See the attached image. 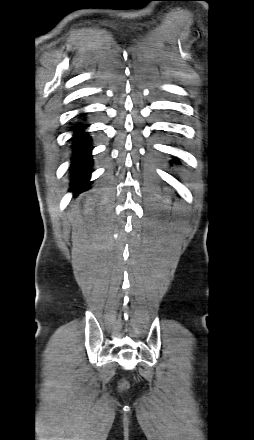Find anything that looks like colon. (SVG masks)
Returning a JSON list of instances; mask_svg holds the SVG:
<instances>
[{"label": "colon", "mask_w": 254, "mask_h": 440, "mask_svg": "<svg viewBox=\"0 0 254 440\" xmlns=\"http://www.w3.org/2000/svg\"><path fill=\"white\" fill-rule=\"evenodd\" d=\"M126 383H122L121 385H120V387L123 389V388H126Z\"/></svg>", "instance_id": "1"}]
</instances>
